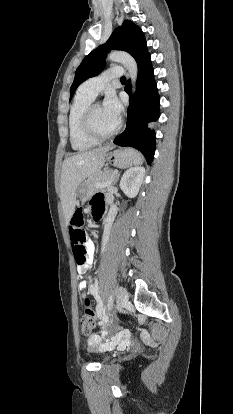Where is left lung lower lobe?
<instances>
[{
  "label": "left lung lower lobe",
  "mask_w": 233,
  "mask_h": 414,
  "mask_svg": "<svg viewBox=\"0 0 233 414\" xmlns=\"http://www.w3.org/2000/svg\"><path fill=\"white\" fill-rule=\"evenodd\" d=\"M137 90L128 107L127 127L114 143L139 150L150 165L155 153V131L152 127L160 116V98L154 80V69L150 55L138 64ZM125 91L131 96L128 81Z\"/></svg>",
  "instance_id": "0a47b994"
}]
</instances>
